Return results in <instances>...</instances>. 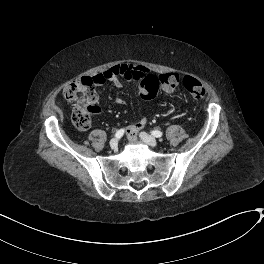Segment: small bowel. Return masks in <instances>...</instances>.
<instances>
[{"label": "small bowel", "instance_id": "1", "mask_svg": "<svg viewBox=\"0 0 264 264\" xmlns=\"http://www.w3.org/2000/svg\"><path fill=\"white\" fill-rule=\"evenodd\" d=\"M125 68V73L122 76L128 81H142L150 74L149 70L143 65H134L131 63H127L122 65ZM121 66V67H122ZM93 82L96 84H104L108 81L112 82L116 87H121V82L119 80L118 74L115 73L114 68L110 70H106L100 74H97L93 77ZM114 101L118 105H123L124 100L115 96ZM147 125V120L144 117H141L135 122L133 125L129 126L128 130L132 135H137L140 131H142Z\"/></svg>", "mask_w": 264, "mask_h": 264}]
</instances>
